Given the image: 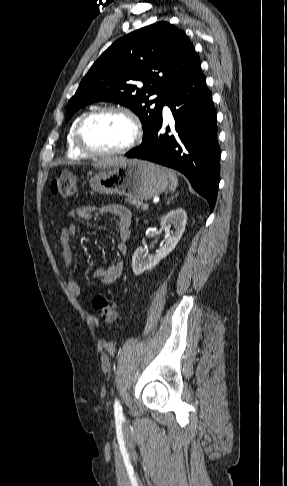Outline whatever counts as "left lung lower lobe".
<instances>
[{"mask_svg":"<svg viewBox=\"0 0 287 486\" xmlns=\"http://www.w3.org/2000/svg\"><path fill=\"white\" fill-rule=\"evenodd\" d=\"M175 119V128L162 131V115L143 136L140 147L125 154L183 173L213 210L220 180V148L217 142L216 110L206 86L200 61L165 94Z\"/></svg>","mask_w":287,"mask_h":486,"instance_id":"1","label":"left lung lower lobe"}]
</instances>
